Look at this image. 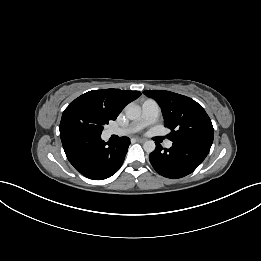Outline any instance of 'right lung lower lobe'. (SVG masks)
Masks as SVG:
<instances>
[{"mask_svg":"<svg viewBox=\"0 0 261 261\" xmlns=\"http://www.w3.org/2000/svg\"><path fill=\"white\" fill-rule=\"evenodd\" d=\"M69 162L83 176L103 180L114 175L123 164L130 140L121 137L105 143L100 136L89 133H60Z\"/></svg>","mask_w":261,"mask_h":261,"instance_id":"98d812e1","label":"right lung lower lobe"}]
</instances>
